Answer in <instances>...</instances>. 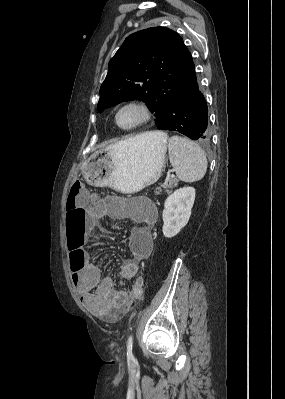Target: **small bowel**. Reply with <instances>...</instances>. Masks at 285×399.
Masks as SVG:
<instances>
[{
  "label": "small bowel",
  "mask_w": 285,
  "mask_h": 399,
  "mask_svg": "<svg viewBox=\"0 0 285 399\" xmlns=\"http://www.w3.org/2000/svg\"><path fill=\"white\" fill-rule=\"evenodd\" d=\"M76 203L80 207H86L89 199L86 196H78ZM107 215H113L117 218L127 217V213L124 212L122 198H108L96 206L95 217L97 219ZM150 216L155 218L154 214ZM135 222L141 225L131 228L129 232L128 244L130 257L120 268V278L123 283L139 276L140 262L148 258L153 249L150 232L154 226V221L144 218L143 213L140 212ZM90 228L91 226L87 227L85 223L80 222L71 225L68 218L66 220L67 233L72 232L82 246H87L91 243L88 232ZM71 281L76 288L82 304L90 309L96 317L109 322L117 321L126 306L143 299V292L137 296L133 290L127 291L115 288L111 278L102 273L101 267L89 254L85 256L83 268L71 275Z\"/></svg>",
  "instance_id": "1"
}]
</instances>
